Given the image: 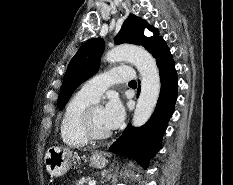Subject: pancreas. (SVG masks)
<instances>
[{
    "mask_svg": "<svg viewBox=\"0 0 233 185\" xmlns=\"http://www.w3.org/2000/svg\"><path fill=\"white\" fill-rule=\"evenodd\" d=\"M89 181H90L89 177L88 178H82V179L78 180L75 185H86L87 182H89Z\"/></svg>",
    "mask_w": 233,
    "mask_h": 185,
    "instance_id": "1",
    "label": "pancreas"
}]
</instances>
